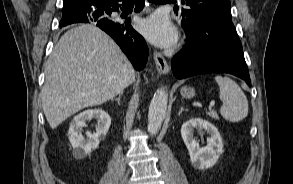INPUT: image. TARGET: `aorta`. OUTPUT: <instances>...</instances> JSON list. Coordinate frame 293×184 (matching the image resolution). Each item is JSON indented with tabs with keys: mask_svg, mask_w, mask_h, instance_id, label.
<instances>
[{
	"mask_svg": "<svg viewBox=\"0 0 293 184\" xmlns=\"http://www.w3.org/2000/svg\"><path fill=\"white\" fill-rule=\"evenodd\" d=\"M168 104V94L164 88H160L154 94L148 112V132L156 135L164 121Z\"/></svg>",
	"mask_w": 293,
	"mask_h": 184,
	"instance_id": "1",
	"label": "aorta"
}]
</instances>
